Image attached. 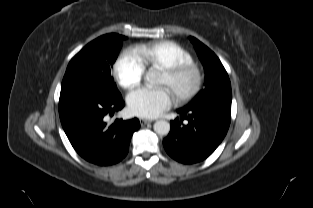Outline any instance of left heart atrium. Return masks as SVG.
<instances>
[{"label":"left heart atrium","instance_id":"1","mask_svg":"<svg viewBox=\"0 0 313 208\" xmlns=\"http://www.w3.org/2000/svg\"><path fill=\"white\" fill-rule=\"evenodd\" d=\"M173 97L168 88L141 87L132 91L127 97L131 112L142 117H157L168 109Z\"/></svg>","mask_w":313,"mask_h":208}]
</instances>
